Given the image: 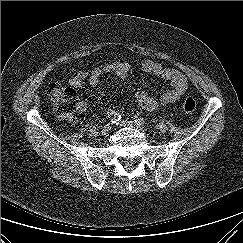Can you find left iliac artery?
<instances>
[{"instance_id":"44dca946","label":"left iliac artery","mask_w":243,"mask_h":243,"mask_svg":"<svg viewBox=\"0 0 243 243\" xmlns=\"http://www.w3.org/2000/svg\"><path fill=\"white\" fill-rule=\"evenodd\" d=\"M134 121L140 123V124L143 125V126H145V125H147L148 127L150 126V125H149V122H147V121L144 120L143 118L139 117L138 115H135V116H134Z\"/></svg>"}]
</instances>
